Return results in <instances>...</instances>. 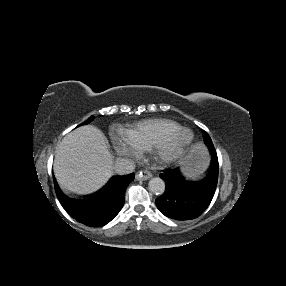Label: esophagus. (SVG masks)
<instances>
[{"label": "esophagus", "instance_id": "obj_1", "mask_svg": "<svg viewBox=\"0 0 286 286\" xmlns=\"http://www.w3.org/2000/svg\"><path fill=\"white\" fill-rule=\"evenodd\" d=\"M152 177V174L148 170H143L136 173L137 180H147Z\"/></svg>", "mask_w": 286, "mask_h": 286}]
</instances>
